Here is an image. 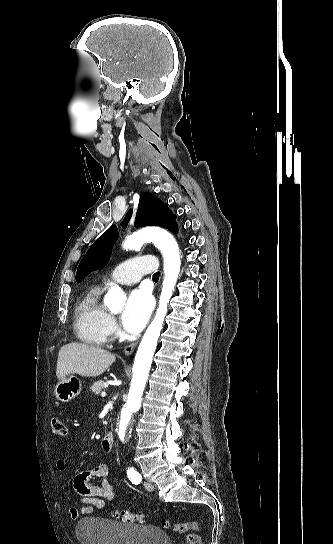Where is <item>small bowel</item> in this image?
Listing matches in <instances>:
<instances>
[{"mask_svg": "<svg viewBox=\"0 0 333 544\" xmlns=\"http://www.w3.org/2000/svg\"><path fill=\"white\" fill-rule=\"evenodd\" d=\"M58 471L63 472L66 469V462L59 459L56 463ZM110 466L107 463H101L94 468L84 471L73 480L75 491L79 498L75 500V505L70 508V514L73 519L82 515H90L96 510L105 508L114 498L113 486L109 482ZM95 479L101 481L100 485L93 484Z\"/></svg>", "mask_w": 333, "mask_h": 544, "instance_id": "obj_1", "label": "small bowel"}]
</instances>
